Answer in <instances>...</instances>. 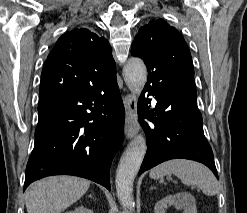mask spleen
Masks as SVG:
<instances>
[{"label": "spleen", "mask_w": 247, "mask_h": 213, "mask_svg": "<svg viewBox=\"0 0 247 213\" xmlns=\"http://www.w3.org/2000/svg\"><path fill=\"white\" fill-rule=\"evenodd\" d=\"M176 175L185 185L198 186L205 195L214 196L218 192L215 176L202 164L190 160L175 159L159 164L150 171V177L160 179Z\"/></svg>", "instance_id": "obj_1"}]
</instances>
